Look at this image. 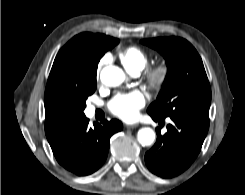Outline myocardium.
Wrapping results in <instances>:
<instances>
[{
  "mask_svg": "<svg viewBox=\"0 0 245 195\" xmlns=\"http://www.w3.org/2000/svg\"><path fill=\"white\" fill-rule=\"evenodd\" d=\"M171 69L168 63L162 62L148 68L145 72V80L153 90H161L168 82Z\"/></svg>",
  "mask_w": 245,
  "mask_h": 195,
  "instance_id": "1",
  "label": "myocardium"
}]
</instances>
